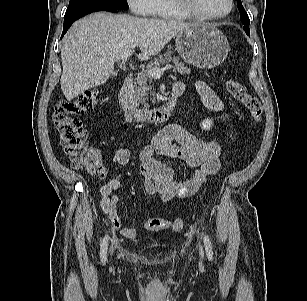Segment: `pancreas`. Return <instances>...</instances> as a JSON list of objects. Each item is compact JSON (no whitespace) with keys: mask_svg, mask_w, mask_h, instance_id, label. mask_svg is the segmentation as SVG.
Instances as JSON below:
<instances>
[{"mask_svg":"<svg viewBox=\"0 0 307 301\" xmlns=\"http://www.w3.org/2000/svg\"><path fill=\"white\" fill-rule=\"evenodd\" d=\"M168 62H173L174 72H179L180 74L190 73V69H188L178 57L174 56L172 52L168 51L163 55H159L147 65L146 70L135 77L134 98L138 101V104L146 108L149 107L150 104H155L153 80L148 74V71ZM149 101H151V103Z\"/></svg>","mask_w":307,"mask_h":301,"instance_id":"1","label":"pancreas"}]
</instances>
